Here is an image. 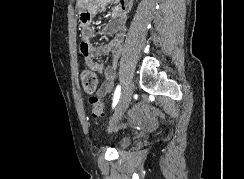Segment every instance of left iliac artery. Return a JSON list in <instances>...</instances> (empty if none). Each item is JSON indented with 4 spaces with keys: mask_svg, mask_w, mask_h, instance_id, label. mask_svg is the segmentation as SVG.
<instances>
[{
    "mask_svg": "<svg viewBox=\"0 0 244 179\" xmlns=\"http://www.w3.org/2000/svg\"><path fill=\"white\" fill-rule=\"evenodd\" d=\"M120 94H121V86L118 85L116 87V90H115V93H114V97H113V107H115L119 101V98H120Z\"/></svg>",
    "mask_w": 244,
    "mask_h": 179,
    "instance_id": "left-iliac-artery-1",
    "label": "left iliac artery"
}]
</instances>
